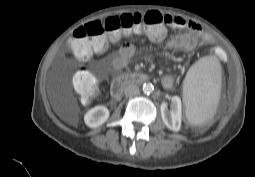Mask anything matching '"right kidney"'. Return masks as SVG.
Returning <instances> with one entry per match:
<instances>
[{
	"label": "right kidney",
	"instance_id": "1",
	"mask_svg": "<svg viewBox=\"0 0 255 177\" xmlns=\"http://www.w3.org/2000/svg\"><path fill=\"white\" fill-rule=\"evenodd\" d=\"M109 118V110L102 105L95 106L84 115V122L90 128H97Z\"/></svg>",
	"mask_w": 255,
	"mask_h": 177
}]
</instances>
